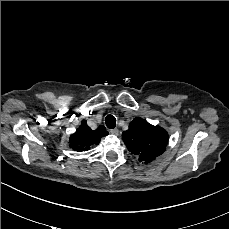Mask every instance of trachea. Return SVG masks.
Wrapping results in <instances>:
<instances>
[{
    "instance_id": "trachea-1",
    "label": "trachea",
    "mask_w": 229,
    "mask_h": 229,
    "mask_svg": "<svg viewBox=\"0 0 229 229\" xmlns=\"http://www.w3.org/2000/svg\"><path fill=\"white\" fill-rule=\"evenodd\" d=\"M105 124L109 129H114L116 127V119L113 115H107L105 118Z\"/></svg>"
}]
</instances>
